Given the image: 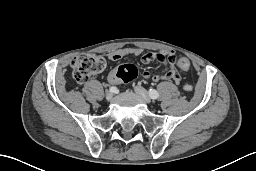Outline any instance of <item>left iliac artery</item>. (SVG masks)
Returning <instances> with one entry per match:
<instances>
[{"mask_svg": "<svg viewBox=\"0 0 256 171\" xmlns=\"http://www.w3.org/2000/svg\"><path fill=\"white\" fill-rule=\"evenodd\" d=\"M149 96L152 99H157L159 97V93L156 90H154V89H150Z\"/></svg>", "mask_w": 256, "mask_h": 171, "instance_id": "1", "label": "left iliac artery"}]
</instances>
